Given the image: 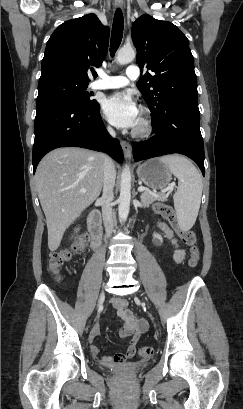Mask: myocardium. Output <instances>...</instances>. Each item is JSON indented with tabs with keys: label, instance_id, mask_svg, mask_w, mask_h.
Returning a JSON list of instances; mask_svg holds the SVG:
<instances>
[{
	"label": "myocardium",
	"instance_id": "f54148a6",
	"mask_svg": "<svg viewBox=\"0 0 243 409\" xmlns=\"http://www.w3.org/2000/svg\"><path fill=\"white\" fill-rule=\"evenodd\" d=\"M153 129L154 125L148 109L142 108L141 116L139 118V124L134 128L132 132L133 136L139 138H147L152 134Z\"/></svg>",
	"mask_w": 243,
	"mask_h": 409
}]
</instances>
